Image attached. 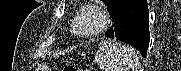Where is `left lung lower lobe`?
I'll return each instance as SVG.
<instances>
[{
	"mask_svg": "<svg viewBox=\"0 0 181 71\" xmlns=\"http://www.w3.org/2000/svg\"><path fill=\"white\" fill-rule=\"evenodd\" d=\"M109 12L114 19V25L106 36L129 43L146 57L150 41L147 1L116 0Z\"/></svg>",
	"mask_w": 181,
	"mask_h": 71,
	"instance_id": "obj_1",
	"label": "left lung lower lobe"
}]
</instances>
